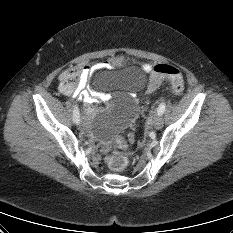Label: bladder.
I'll use <instances>...</instances> for the list:
<instances>
[{"label": "bladder", "instance_id": "bladder-1", "mask_svg": "<svg viewBox=\"0 0 233 233\" xmlns=\"http://www.w3.org/2000/svg\"><path fill=\"white\" fill-rule=\"evenodd\" d=\"M146 83V76L138 68H127L122 71H103L96 75L98 87L117 88L128 92L141 90ZM136 103L129 99L117 105H111L102 113L95 114L89 130L98 139H107L126 129L137 114Z\"/></svg>", "mask_w": 233, "mask_h": 233}]
</instances>
